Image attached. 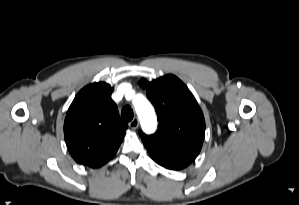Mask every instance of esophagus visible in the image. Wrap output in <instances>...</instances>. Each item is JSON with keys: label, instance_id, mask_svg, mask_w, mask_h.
Instances as JSON below:
<instances>
[{"label": "esophagus", "instance_id": "esophagus-1", "mask_svg": "<svg viewBox=\"0 0 299 205\" xmlns=\"http://www.w3.org/2000/svg\"><path fill=\"white\" fill-rule=\"evenodd\" d=\"M130 128L132 129H137L139 126V120L137 117H135L130 123H129Z\"/></svg>", "mask_w": 299, "mask_h": 205}]
</instances>
